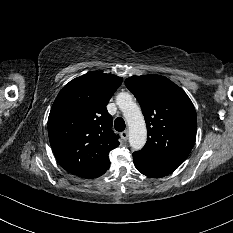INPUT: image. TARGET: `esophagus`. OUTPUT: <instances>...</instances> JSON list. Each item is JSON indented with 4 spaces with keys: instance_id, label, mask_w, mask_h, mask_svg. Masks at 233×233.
Segmentation results:
<instances>
[{
    "instance_id": "34e87169",
    "label": "esophagus",
    "mask_w": 233,
    "mask_h": 233,
    "mask_svg": "<svg viewBox=\"0 0 233 233\" xmlns=\"http://www.w3.org/2000/svg\"><path fill=\"white\" fill-rule=\"evenodd\" d=\"M121 137H122V139H123L124 141H126L127 138H128V131H127V130L123 131V132L121 133Z\"/></svg>"
}]
</instances>
